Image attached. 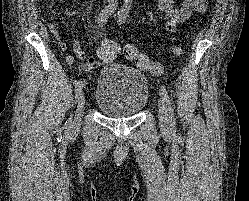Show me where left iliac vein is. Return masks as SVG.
Segmentation results:
<instances>
[{"label":"left iliac vein","instance_id":"1","mask_svg":"<svg viewBox=\"0 0 249 201\" xmlns=\"http://www.w3.org/2000/svg\"><path fill=\"white\" fill-rule=\"evenodd\" d=\"M159 125L163 131L169 129L168 115L163 100H159Z\"/></svg>","mask_w":249,"mask_h":201}]
</instances>
